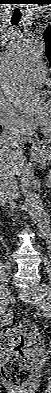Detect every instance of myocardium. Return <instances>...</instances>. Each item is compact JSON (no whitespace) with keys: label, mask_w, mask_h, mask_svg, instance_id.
<instances>
[{"label":"myocardium","mask_w":51,"mask_h":393,"mask_svg":"<svg viewBox=\"0 0 51 393\" xmlns=\"http://www.w3.org/2000/svg\"><path fill=\"white\" fill-rule=\"evenodd\" d=\"M40 130L46 136H50L51 135V130H46L43 126H40Z\"/></svg>","instance_id":"obj_1"}]
</instances>
